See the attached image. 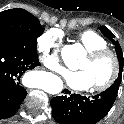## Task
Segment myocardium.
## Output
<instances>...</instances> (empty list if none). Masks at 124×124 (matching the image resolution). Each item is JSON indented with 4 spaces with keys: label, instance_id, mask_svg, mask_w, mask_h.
Returning <instances> with one entry per match:
<instances>
[{
    "label": "myocardium",
    "instance_id": "f54148a6",
    "mask_svg": "<svg viewBox=\"0 0 124 124\" xmlns=\"http://www.w3.org/2000/svg\"><path fill=\"white\" fill-rule=\"evenodd\" d=\"M104 56L111 58L113 66L112 72L104 83L92 87V91L96 93L104 92L109 89L116 82L120 74V61L117 54L113 50L108 47H104L87 51V57L90 60H97Z\"/></svg>",
    "mask_w": 124,
    "mask_h": 124
}]
</instances>
